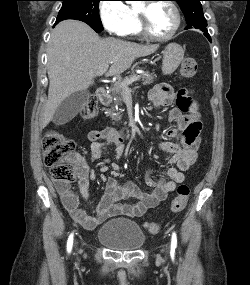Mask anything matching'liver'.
Masks as SVG:
<instances>
[{"label": "liver", "mask_w": 250, "mask_h": 285, "mask_svg": "<svg viewBox=\"0 0 250 285\" xmlns=\"http://www.w3.org/2000/svg\"><path fill=\"white\" fill-rule=\"evenodd\" d=\"M158 45H139L115 38L101 39L87 24L60 22L47 48L48 100L41 119L46 127L58 106L75 92L87 90L101 67L111 64L106 76L119 75L136 58L153 54Z\"/></svg>", "instance_id": "1"}]
</instances>
